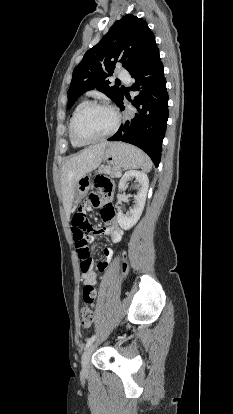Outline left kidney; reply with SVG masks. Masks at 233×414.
I'll list each match as a JSON object with an SVG mask.
<instances>
[{"mask_svg":"<svg viewBox=\"0 0 233 414\" xmlns=\"http://www.w3.org/2000/svg\"><path fill=\"white\" fill-rule=\"evenodd\" d=\"M131 178H135L136 182H138V193L135 195V205L130 209L127 215H124L122 212L117 213L118 223L124 230H129L132 228L140 219L145 206L149 186V179L145 173L131 170L125 172V174L122 176L118 186L119 190L124 189L126 182Z\"/></svg>","mask_w":233,"mask_h":414,"instance_id":"left-kidney-1","label":"left kidney"}]
</instances>
